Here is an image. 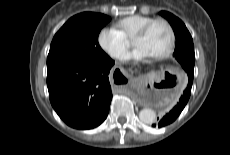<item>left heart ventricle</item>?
Instances as JSON below:
<instances>
[{
    "mask_svg": "<svg viewBox=\"0 0 230 155\" xmlns=\"http://www.w3.org/2000/svg\"><path fill=\"white\" fill-rule=\"evenodd\" d=\"M169 40L170 35L166 25L157 23L145 37L135 39L133 45L144 48L151 57H154L166 50Z\"/></svg>",
    "mask_w": 230,
    "mask_h": 155,
    "instance_id": "b2bd125f",
    "label": "left heart ventricle"
}]
</instances>
